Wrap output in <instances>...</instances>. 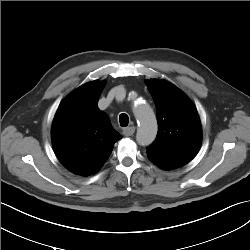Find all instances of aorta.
Instances as JSON below:
<instances>
[{"label":"aorta","instance_id":"aorta-1","mask_svg":"<svg viewBox=\"0 0 250 250\" xmlns=\"http://www.w3.org/2000/svg\"><path fill=\"white\" fill-rule=\"evenodd\" d=\"M138 121L136 140L139 145L148 146L156 138L157 122L151 107L146 102H140L133 107Z\"/></svg>","mask_w":250,"mask_h":250}]
</instances>
